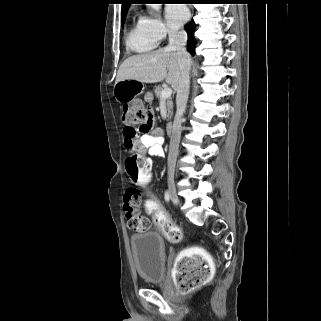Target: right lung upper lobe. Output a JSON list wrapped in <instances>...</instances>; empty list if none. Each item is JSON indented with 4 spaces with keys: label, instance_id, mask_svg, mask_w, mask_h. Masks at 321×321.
I'll list each match as a JSON object with an SVG mask.
<instances>
[{
    "label": "right lung upper lobe",
    "instance_id": "right-lung-upper-lobe-1",
    "mask_svg": "<svg viewBox=\"0 0 321 321\" xmlns=\"http://www.w3.org/2000/svg\"><path fill=\"white\" fill-rule=\"evenodd\" d=\"M122 14L127 13V10L133 0H122Z\"/></svg>",
    "mask_w": 321,
    "mask_h": 321
}]
</instances>
